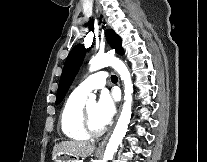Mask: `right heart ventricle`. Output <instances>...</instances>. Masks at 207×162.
Returning a JSON list of instances; mask_svg holds the SVG:
<instances>
[{
  "mask_svg": "<svg viewBox=\"0 0 207 162\" xmlns=\"http://www.w3.org/2000/svg\"><path fill=\"white\" fill-rule=\"evenodd\" d=\"M86 95L74 90L67 98L59 119L63 134L73 140L84 141L89 138L81 124L82 109Z\"/></svg>",
  "mask_w": 207,
  "mask_h": 162,
  "instance_id": "right-heart-ventricle-1",
  "label": "right heart ventricle"
}]
</instances>
